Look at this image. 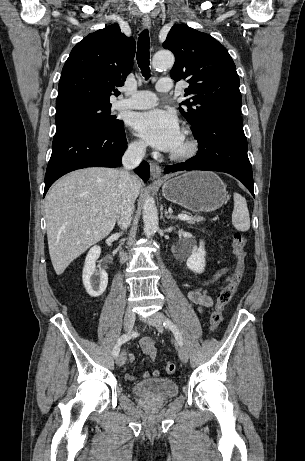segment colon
I'll use <instances>...</instances> for the list:
<instances>
[{"instance_id":"obj_1","label":"colon","mask_w":305,"mask_h":461,"mask_svg":"<svg viewBox=\"0 0 305 461\" xmlns=\"http://www.w3.org/2000/svg\"><path fill=\"white\" fill-rule=\"evenodd\" d=\"M245 246V237L239 232L235 233L233 236V251L236 259V269L230 282L224 286L216 296V304L209 318V324L212 330H216L219 327L222 321L224 307L230 302L241 281L244 271ZM164 369L166 373L173 374L176 371V365L173 362H167Z\"/></svg>"}]
</instances>
